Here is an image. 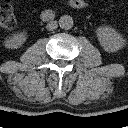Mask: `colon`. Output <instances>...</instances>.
<instances>
[{
	"label": "colon",
	"mask_w": 128,
	"mask_h": 128,
	"mask_svg": "<svg viewBox=\"0 0 128 128\" xmlns=\"http://www.w3.org/2000/svg\"><path fill=\"white\" fill-rule=\"evenodd\" d=\"M15 25V15L11 2L4 0L0 2V27L12 28Z\"/></svg>",
	"instance_id": "obj_1"
}]
</instances>
